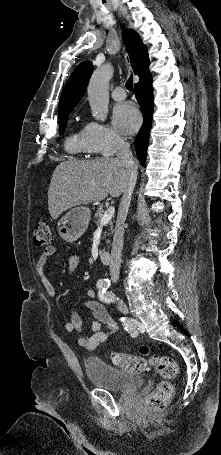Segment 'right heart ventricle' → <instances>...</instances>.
I'll return each mask as SVG.
<instances>
[{
  "instance_id": "right-heart-ventricle-1",
  "label": "right heart ventricle",
  "mask_w": 221,
  "mask_h": 455,
  "mask_svg": "<svg viewBox=\"0 0 221 455\" xmlns=\"http://www.w3.org/2000/svg\"><path fill=\"white\" fill-rule=\"evenodd\" d=\"M65 148L72 155L90 154L84 130L71 132L65 140Z\"/></svg>"
}]
</instances>
